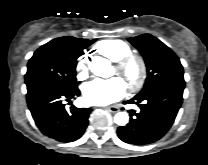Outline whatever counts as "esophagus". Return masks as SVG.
<instances>
[{"label": "esophagus", "instance_id": "34e87169", "mask_svg": "<svg viewBox=\"0 0 208 165\" xmlns=\"http://www.w3.org/2000/svg\"><path fill=\"white\" fill-rule=\"evenodd\" d=\"M105 109L109 112H112V113H116L119 111V108L115 107V106L105 107Z\"/></svg>", "mask_w": 208, "mask_h": 165}]
</instances>
